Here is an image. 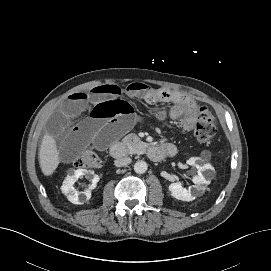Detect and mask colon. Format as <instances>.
Returning a JSON list of instances; mask_svg holds the SVG:
<instances>
[{
	"mask_svg": "<svg viewBox=\"0 0 271 271\" xmlns=\"http://www.w3.org/2000/svg\"><path fill=\"white\" fill-rule=\"evenodd\" d=\"M179 126L184 130H193L195 140L203 145H209L215 136L213 116L205 106L190 104L184 116L179 120ZM79 168H100L103 165L102 155L89 148L76 160Z\"/></svg>",
	"mask_w": 271,
	"mask_h": 271,
	"instance_id": "obj_1",
	"label": "colon"
}]
</instances>
